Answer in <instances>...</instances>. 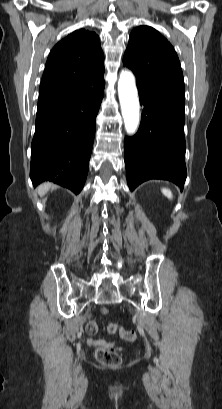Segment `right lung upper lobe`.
Wrapping results in <instances>:
<instances>
[{
    "instance_id": "cb5924a9",
    "label": "right lung upper lobe",
    "mask_w": 222,
    "mask_h": 409,
    "mask_svg": "<svg viewBox=\"0 0 222 409\" xmlns=\"http://www.w3.org/2000/svg\"><path fill=\"white\" fill-rule=\"evenodd\" d=\"M104 73V55L95 32L79 29L58 42L49 54L38 103L84 91L87 81Z\"/></svg>"
}]
</instances>
